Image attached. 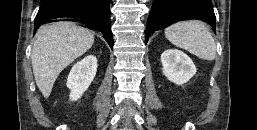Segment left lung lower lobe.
<instances>
[{
  "mask_svg": "<svg viewBox=\"0 0 257 130\" xmlns=\"http://www.w3.org/2000/svg\"><path fill=\"white\" fill-rule=\"evenodd\" d=\"M189 19L208 22L215 31V14L211 0H153L147 20L145 43L148 42L150 33Z\"/></svg>",
  "mask_w": 257,
  "mask_h": 130,
  "instance_id": "obj_1",
  "label": "left lung lower lobe"
}]
</instances>
